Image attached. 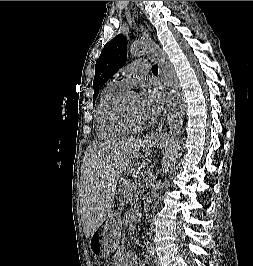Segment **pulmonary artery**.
I'll return each instance as SVG.
<instances>
[{
    "mask_svg": "<svg viewBox=\"0 0 253 266\" xmlns=\"http://www.w3.org/2000/svg\"><path fill=\"white\" fill-rule=\"evenodd\" d=\"M148 71V64L145 61H134L121 69L116 75V80L126 87L134 85Z\"/></svg>",
    "mask_w": 253,
    "mask_h": 266,
    "instance_id": "1",
    "label": "pulmonary artery"
}]
</instances>
